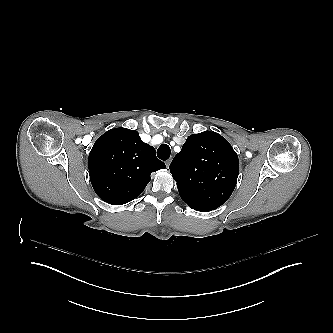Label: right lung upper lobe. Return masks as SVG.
Returning a JSON list of instances; mask_svg holds the SVG:
<instances>
[{
	"label": "right lung upper lobe",
	"mask_w": 333,
	"mask_h": 333,
	"mask_svg": "<svg viewBox=\"0 0 333 333\" xmlns=\"http://www.w3.org/2000/svg\"><path fill=\"white\" fill-rule=\"evenodd\" d=\"M89 175L94 191L105 202L122 205L135 199L152 172L165 168L155 149L138 132L115 128L100 136L89 154Z\"/></svg>",
	"instance_id": "cb5924a9"
}]
</instances>
